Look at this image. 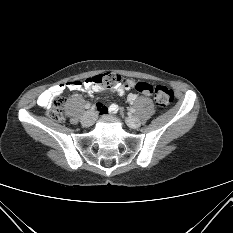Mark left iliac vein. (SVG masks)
Returning <instances> with one entry per match:
<instances>
[{
  "label": "left iliac vein",
  "instance_id": "1",
  "mask_svg": "<svg viewBox=\"0 0 233 233\" xmlns=\"http://www.w3.org/2000/svg\"><path fill=\"white\" fill-rule=\"evenodd\" d=\"M126 123L129 127L134 128V129L139 128L141 125L139 118L134 117V116L128 117L126 119Z\"/></svg>",
  "mask_w": 233,
  "mask_h": 233
}]
</instances>
